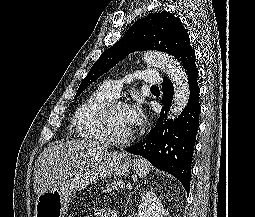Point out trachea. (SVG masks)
<instances>
[{"mask_svg": "<svg viewBox=\"0 0 255 217\" xmlns=\"http://www.w3.org/2000/svg\"><path fill=\"white\" fill-rule=\"evenodd\" d=\"M151 88L152 89H158V86H152Z\"/></svg>", "mask_w": 255, "mask_h": 217, "instance_id": "1", "label": "trachea"}]
</instances>
